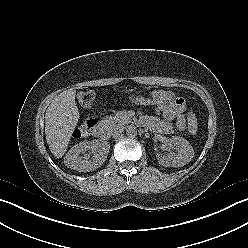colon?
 I'll list each match as a JSON object with an SVG mask.
<instances>
[{"instance_id":"1","label":"colon","mask_w":248,"mask_h":248,"mask_svg":"<svg viewBox=\"0 0 248 248\" xmlns=\"http://www.w3.org/2000/svg\"><path fill=\"white\" fill-rule=\"evenodd\" d=\"M158 101V100H157ZM95 102V94L93 92L87 91L82 92L78 95V103L79 106L83 109H91ZM188 120V129L190 133L195 134L197 132V121L192 112H188L187 115ZM98 123V119L94 116H89L84 123H82L79 127L74 130V136L77 138L87 136L92 129Z\"/></svg>"}]
</instances>
